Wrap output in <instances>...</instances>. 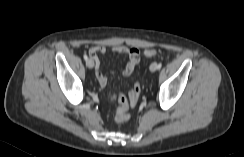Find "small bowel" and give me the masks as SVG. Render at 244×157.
<instances>
[{
    "mask_svg": "<svg viewBox=\"0 0 244 157\" xmlns=\"http://www.w3.org/2000/svg\"><path fill=\"white\" fill-rule=\"evenodd\" d=\"M112 52L117 54H128L129 61L127 62L125 68L121 71L123 76H129L133 73L135 67L140 61V51L135 47H128L126 45H115L112 47ZM106 52L104 46H94L88 50V54L94 62L95 65V75L99 84L104 87L107 84V77L101 71V58L100 56ZM113 73V72H112Z\"/></svg>",
    "mask_w": 244,
    "mask_h": 157,
    "instance_id": "small-bowel-1",
    "label": "small bowel"
}]
</instances>
